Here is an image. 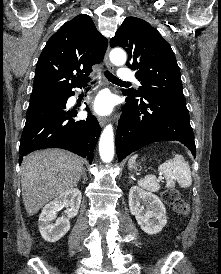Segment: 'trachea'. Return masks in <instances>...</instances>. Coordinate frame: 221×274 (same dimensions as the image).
Returning a JSON list of instances; mask_svg holds the SVG:
<instances>
[{
  "label": "trachea",
  "mask_w": 221,
  "mask_h": 274,
  "mask_svg": "<svg viewBox=\"0 0 221 274\" xmlns=\"http://www.w3.org/2000/svg\"><path fill=\"white\" fill-rule=\"evenodd\" d=\"M106 78L112 82V83H119V84H128V82H124V81H121L120 79H118L116 76H114L113 74H111L108 70H106L104 72Z\"/></svg>",
  "instance_id": "1"
}]
</instances>
